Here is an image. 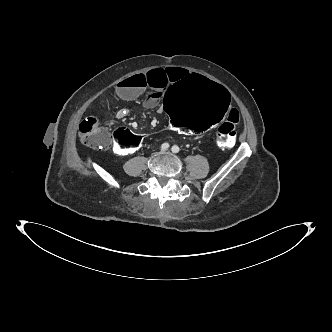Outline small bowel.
<instances>
[{"label": "small bowel", "instance_id": "c3829d8e", "mask_svg": "<svg viewBox=\"0 0 332 332\" xmlns=\"http://www.w3.org/2000/svg\"><path fill=\"white\" fill-rule=\"evenodd\" d=\"M187 75H190V72L180 67L157 68L132 75L123 79L115 86L114 97L109 107L113 108L117 100H133L149 89L151 90V94L145 100L144 106L146 108H153L158 104L167 89ZM124 116L123 110L117 112L118 118L122 119ZM232 116H236L238 119L236 109H234ZM132 128L138 130L139 127L134 123ZM170 129L177 130L172 126Z\"/></svg>", "mask_w": 332, "mask_h": 332}]
</instances>
